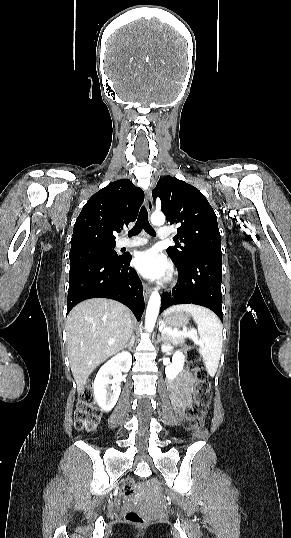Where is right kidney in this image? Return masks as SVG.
I'll use <instances>...</instances> for the list:
<instances>
[{"mask_svg": "<svg viewBox=\"0 0 291 538\" xmlns=\"http://www.w3.org/2000/svg\"><path fill=\"white\" fill-rule=\"evenodd\" d=\"M132 365V356L121 352L108 360L98 371L93 383L94 397L99 407L108 412L118 401L122 372H128Z\"/></svg>", "mask_w": 291, "mask_h": 538, "instance_id": "1", "label": "right kidney"}]
</instances>
